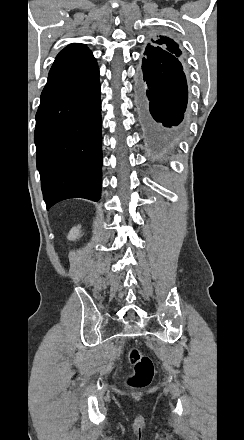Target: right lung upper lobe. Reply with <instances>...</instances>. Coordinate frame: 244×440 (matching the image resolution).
<instances>
[{
  "instance_id": "cb5924a9",
  "label": "right lung upper lobe",
  "mask_w": 244,
  "mask_h": 440,
  "mask_svg": "<svg viewBox=\"0 0 244 440\" xmlns=\"http://www.w3.org/2000/svg\"><path fill=\"white\" fill-rule=\"evenodd\" d=\"M95 63L96 60L89 48L85 44L75 43L70 44L57 55L51 70L71 65L86 67Z\"/></svg>"
}]
</instances>
